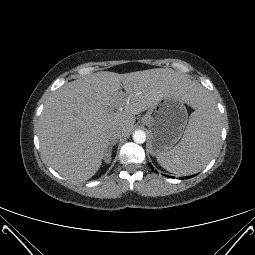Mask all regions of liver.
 I'll list each match as a JSON object with an SVG mask.
<instances>
[{
    "mask_svg": "<svg viewBox=\"0 0 255 255\" xmlns=\"http://www.w3.org/2000/svg\"><path fill=\"white\" fill-rule=\"evenodd\" d=\"M123 87L126 94L119 91ZM176 92L198 107L207 92L169 68L118 74L109 71L71 81L56 90L39 119V141L48 164L64 178L84 182L98 171L111 144L108 133L130 134L135 115ZM120 108L114 112L112 108Z\"/></svg>",
    "mask_w": 255,
    "mask_h": 255,
    "instance_id": "6515ba94",
    "label": "liver"
}]
</instances>
